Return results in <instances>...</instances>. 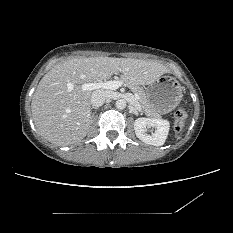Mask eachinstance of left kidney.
Segmentation results:
<instances>
[{
    "instance_id": "1",
    "label": "left kidney",
    "mask_w": 233,
    "mask_h": 233,
    "mask_svg": "<svg viewBox=\"0 0 233 233\" xmlns=\"http://www.w3.org/2000/svg\"><path fill=\"white\" fill-rule=\"evenodd\" d=\"M155 128L154 132L148 133V128ZM170 129L167 120L156 118H138L134 122L136 136L146 144L161 146L165 143Z\"/></svg>"
}]
</instances>
